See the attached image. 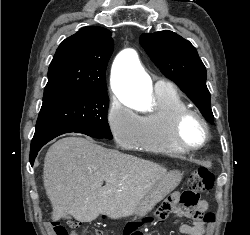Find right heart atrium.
I'll return each mask as SVG.
<instances>
[{"label":"right heart atrium","instance_id":"obj_1","mask_svg":"<svg viewBox=\"0 0 250 235\" xmlns=\"http://www.w3.org/2000/svg\"><path fill=\"white\" fill-rule=\"evenodd\" d=\"M107 124L115 141L126 148H133L141 135V117L117 98L110 99L107 109Z\"/></svg>","mask_w":250,"mask_h":235}]
</instances>
